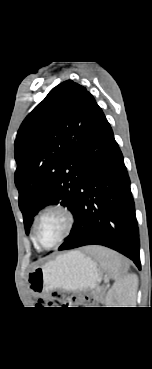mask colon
<instances>
[{
	"label": "colon",
	"instance_id": "5ec220e1",
	"mask_svg": "<svg viewBox=\"0 0 152 369\" xmlns=\"http://www.w3.org/2000/svg\"><path fill=\"white\" fill-rule=\"evenodd\" d=\"M90 298L83 294L69 295L64 291H56L50 296L39 300V305L42 307H85L89 303Z\"/></svg>",
	"mask_w": 152,
	"mask_h": 369
}]
</instances>
